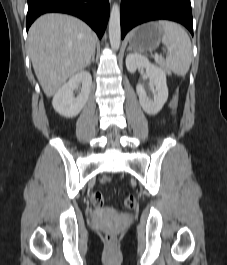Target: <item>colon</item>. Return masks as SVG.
I'll list each match as a JSON object with an SVG mask.
<instances>
[{
	"instance_id": "1",
	"label": "colon",
	"mask_w": 227,
	"mask_h": 265,
	"mask_svg": "<svg viewBox=\"0 0 227 265\" xmlns=\"http://www.w3.org/2000/svg\"><path fill=\"white\" fill-rule=\"evenodd\" d=\"M170 107L172 109L173 112H176L177 110V107H178V97L177 95L175 94L170 102ZM101 182L103 184H108L111 182V179L110 177L108 176H103L101 178ZM90 200H91V203L96 206V207H100L103 205L104 203V197L102 195V193L99 191V190H94L91 195H90ZM136 207V199L134 196L130 195V196H127L123 202H122V208L125 210V211H131L133 210L134 208ZM104 239L106 241L107 244L109 245H113L115 242H116V237L115 235L113 234H106L104 236Z\"/></svg>"
}]
</instances>
